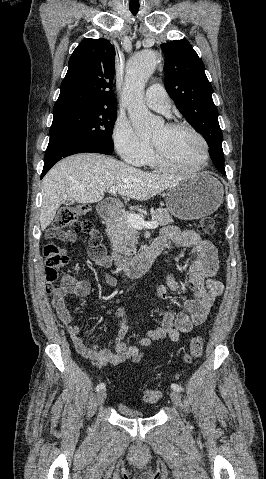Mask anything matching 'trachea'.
I'll return each instance as SVG.
<instances>
[{
  "instance_id": "3493384b",
  "label": "trachea",
  "mask_w": 266,
  "mask_h": 479,
  "mask_svg": "<svg viewBox=\"0 0 266 479\" xmlns=\"http://www.w3.org/2000/svg\"><path fill=\"white\" fill-rule=\"evenodd\" d=\"M130 11L133 15H136L138 13V9L136 8H130Z\"/></svg>"
}]
</instances>
